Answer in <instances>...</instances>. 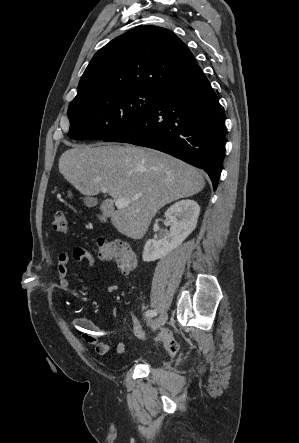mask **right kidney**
<instances>
[{"label":"right kidney","instance_id":"ca27d5eb","mask_svg":"<svg viewBox=\"0 0 299 443\" xmlns=\"http://www.w3.org/2000/svg\"><path fill=\"white\" fill-rule=\"evenodd\" d=\"M200 207L194 200H181L170 206L164 217L170 224V232L160 240L149 239L145 243L142 259L154 261L176 249L196 228Z\"/></svg>","mask_w":299,"mask_h":443}]
</instances>
